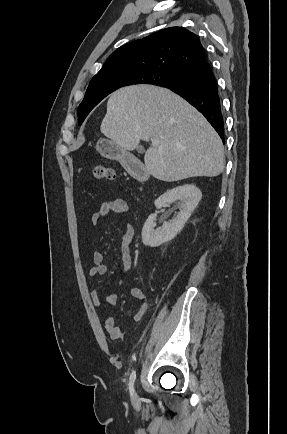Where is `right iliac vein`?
I'll use <instances>...</instances> for the list:
<instances>
[{"mask_svg": "<svg viewBox=\"0 0 287 434\" xmlns=\"http://www.w3.org/2000/svg\"><path fill=\"white\" fill-rule=\"evenodd\" d=\"M132 397H133L134 399L137 398V393H136L135 390H134L133 393H132Z\"/></svg>", "mask_w": 287, "mask_h": 434, "instance_id": "right-iliac-vein-1", "label": "right iliac vein"}]
</instances>
